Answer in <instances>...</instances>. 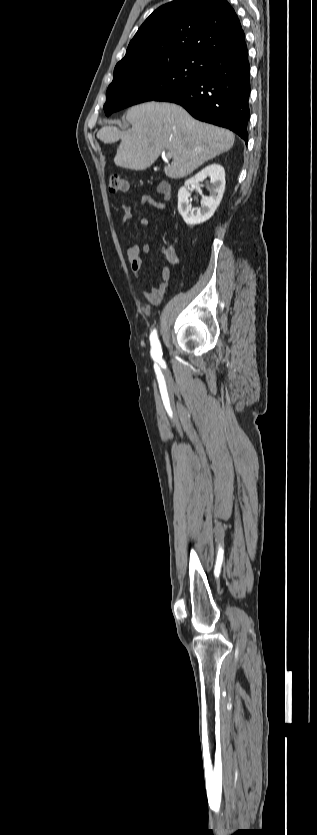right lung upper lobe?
<instances>
[{
	"label": "right lung upper lobe",
	"instance_id": "1",
	"mask_svg": "<svg viewBox=\"0 0 317 835\" xmlns=\"http://www.w3.org/2000/svg\"><path fill=\"white\" fill-rule=\"evenodd\" d=\"M239 35L244 32L227 0H175L145 20L114 75L196 59Z\"/></svg>",
	"mask_w": 317,
	"mask_h": 835
}]
</instances>
